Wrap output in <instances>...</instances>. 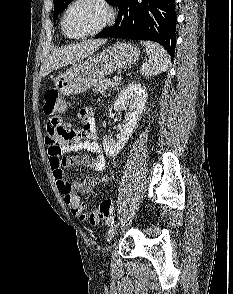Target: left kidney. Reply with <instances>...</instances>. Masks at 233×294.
<instances>
[{"instance_id": "5707ae66", "label": "left kidney", "mask_w": 233, "mask_h": 294, "mask_svg": "<svg viewBox=\"0 0 233 294\" xmlns=\"http://www.w3.org/2000/svg\"><path fill=\"white\" fill-rule=\"evenodd\" d=\"M147 96L145 88L135 82L129 83L121 90L114 103V110H125V123L118 125L119 134L116 141L104 138L103 147L107 156L115 157L123 149L140 119Z\"/></svg>"}]
</instances>
